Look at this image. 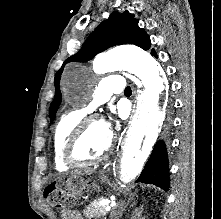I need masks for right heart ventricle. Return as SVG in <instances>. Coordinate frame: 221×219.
<instances>
[{"instance_id": "obj_1", "label": "right heart ventricle", "mask_w": 221, "mask_h": 219, "mask_svg": "<svg viewBox=\"0 0 221 219\" xmlns=\"http://www.w3.org/2000/svg\"><path fill=\"white\" fill-rule=\"evenodd\" d=\"M85 115L83 110L67 111L58 119L52 138L53 162L56 170L64 172L71 168L63 158L65 144L74 128Z\"/></svg>"}]
</instances>
